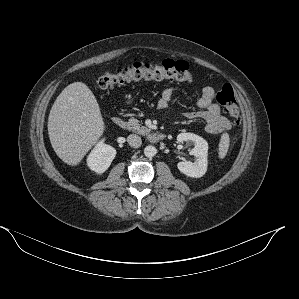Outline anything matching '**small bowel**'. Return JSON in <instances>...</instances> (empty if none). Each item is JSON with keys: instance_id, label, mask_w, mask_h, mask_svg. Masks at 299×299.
Wrapping results in <instances>:
<instances>
[{"instance_id": "1", "label": "small bowel", "mask_w": 299, "mask_h": 299, "mask_svg": "<svg viewBox=\"0 0 299 299\" xmlns=\"http://www.w3.org/2000/svg\"><path fill=\"white\" fill-rule=\"evenodd\" d=\"M174 97L172 88H164L157 100L160 109H166ZM215 91L212 87H205L197 101L198 111L186 113L189 119H201L205 123L206 131L211 134H220L231 128L230 121L221 114L220 106L214 101Z\"/></svg>"}]
</instances>
